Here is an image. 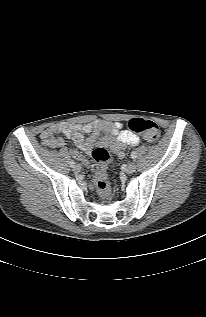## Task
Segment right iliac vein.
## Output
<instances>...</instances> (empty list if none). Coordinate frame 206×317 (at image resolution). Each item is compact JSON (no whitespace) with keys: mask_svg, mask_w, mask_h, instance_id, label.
Here are the masks:
<instances>
[{"mask_svg":"<svg viewBox=\"0 0 206 317\" xmlns=\"http://www.w3.org/2000/svg\"><path fill=\"white\" fill-rule=\"evenodd\" d=\"M74 172L75 173H79L81 171V167L79 165H76L74 168H73Z\"/></svg>","mask_w":206,"mask_h":317,"instance_id":"right-iliac-vein-1","label":"right iliac vein"}]
</instances>
